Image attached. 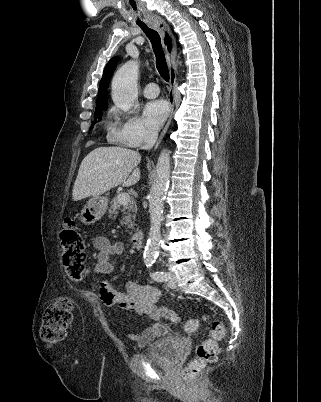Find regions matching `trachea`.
Returning <instances> with one entry per match:
<instances>
[{"label": "trachea", "instance_id": "3493384b", "mask_svg": "<svg viewBox=\"0 0 321 402\" xmlns=\"http://www.w3.org/2000/svg\"><path fill=\"white\" fill-rule=\"evenodd\" d=\"M138 26L144 31L146 36L149 38L153 51L156 57V67L161 75V77L168 82L169 81V70L167 66V62L165 59V55L162 50L161 38L157 31L149 28L146 24H138Z\"/></svg>", "mask_w": 321, "mask_h": 402}]
</instances>
